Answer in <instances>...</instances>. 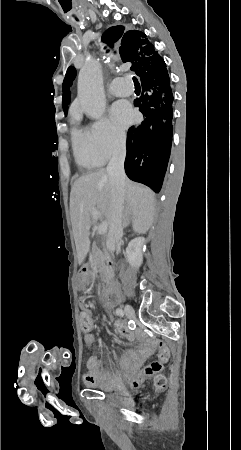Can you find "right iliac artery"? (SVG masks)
I'll return each instance as SVG.
<instances>
[{
  "mask_svg": "<svg viewBox=\"0 0 241 450\" xmlns=\"http://www.w3.org/2000/svg\"><path fill=\"white\" fill-rule=\"evenodd\" d=\"M116 315H118L120 317H123L124 316V311L122 309H120V308H117L116 309Z\"/></svg>",
  "mask_w": 241,
  "mask_h": 450,
  "instance_id": "right-iliac-artery-1",
  "label": "right iliac artery"
}]
</instances>
